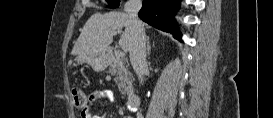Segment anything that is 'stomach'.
<instances>
[{
  "instance_id": "1",
  "label": "stomach",
  "mask_w": 273,
  "mask_h": 118,
  "mask_svg": "<svg viewBox=\"0 0 273 118\" xmlns=\"http://www.w3.org/2000/svg\"><path fill=\"white\" fill-rule=\"evenodd\" d=\"M78 64L87 63L89 64L93 70L97 72L103 71L108 65V56L106 53H97L91 55H78L75 59Z\"/></svg>"
}]
</instances>
